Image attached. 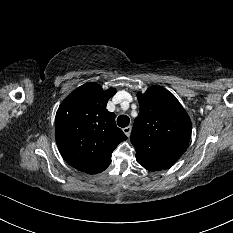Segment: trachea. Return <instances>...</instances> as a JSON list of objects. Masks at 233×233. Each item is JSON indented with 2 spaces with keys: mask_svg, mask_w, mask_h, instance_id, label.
<instances>
[{
  "mask_svg": "<svg viewBox=\"0 0 233 233\" xmlns=\"http://www.w3.org/2000/svg\"><path fill=\"white\" fill-rule=\"evenodd\" d=\"M130 123V118L126 115H120L118 118H117V124L119 127H127Z\"/></svg>",
  "mask_w": 233,
  "mask_h": 233,
  "instance_id": "1",
  "label": "trachea"
}]
</instances>
